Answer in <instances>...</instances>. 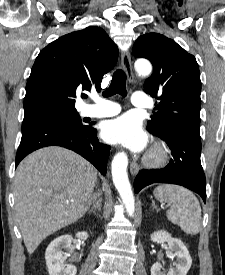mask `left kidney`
Returning <instances> with one entry per match:
<instances>
[{
    "mask_svg": "<svg viewBox=\"0 0 225 275\" xmlns=\"http://www.w3.org/2000/svg\"><path fill=\"white\" fill-rule=\"evenodd\" d=\"M151 241L164 243L167 242L169 249L174 251L173 256L177 257V262L173 263V267L170 268L169 272L165 274L161 271L162 265L156 262L151 267V275H186L189 271L192 259L188 249L183 242L177 238H172L171 234L166 231H157L151 234Z\"/></svg>",
    "mask_w": 225,
    "mask_h": 275,
    "instance_id": "1",
    "label": "left kidney"
}]
</instances>
